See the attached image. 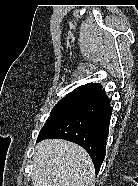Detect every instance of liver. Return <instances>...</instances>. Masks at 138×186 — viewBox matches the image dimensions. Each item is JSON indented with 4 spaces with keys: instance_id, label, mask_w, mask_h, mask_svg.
<instances>
[{
    "instance_id": "6515ba94",
    "label": "liver",
    "mask_w": 138,
    "mask_h": 186,
    "mask_svg": "<svg viewBox=\"0 0 138 186\" xmlns=\"http://www.w3.org/2000/svg\"><path fill=\"white\" fill-rule=\"evenodd\" d=\"M33 186H93L94 166L79 145L47 139L36 146Z\"/></svg>"
}]
</instances>
